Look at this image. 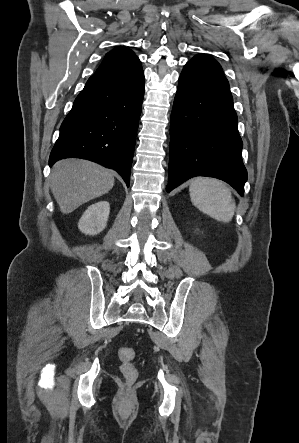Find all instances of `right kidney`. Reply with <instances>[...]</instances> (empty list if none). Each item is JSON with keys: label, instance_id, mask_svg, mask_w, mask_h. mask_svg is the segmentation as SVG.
<instances>
[{"label": "right kidney", "instance_id": "1", "mask_svg": "<svg viewBox=\"0 0 299 443\" xmlns=\"http://www.w3.org/2000/svg\"><path fill=\"white\" fill-rule=\"evenodd\" d=\"M110 205L107 201H100L87 208L79 220L78 228L86 235L100 233L107 224Z\"/></svg>", "mask_w": 299, "mask_h": 443}]
</instances>
